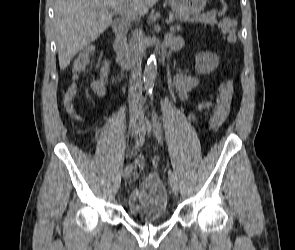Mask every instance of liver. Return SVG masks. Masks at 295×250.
<instances>
[{"label": "liver", "instance_id": "1", "mask_svg": "<svg viewBox=\"0 0 295 250\" xmlns=\"http://www.w3.org/2000/svg\"><path fill=\"white\" fill-rule=\"evenodd\" d=\"M158 0H55L54 29L60 69L112 23L108 10L126 3L144 15Z\"/></svg>", "mask_w": 295, "mask_h": 250}]
</instances>
